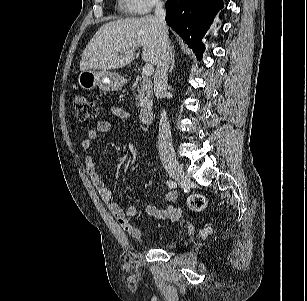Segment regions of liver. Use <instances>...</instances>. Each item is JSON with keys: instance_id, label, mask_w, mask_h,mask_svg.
I'll use <instances>...</instances> for the list:
<instances>
[{"instance_id": "obj_1", "label": "liver", "mask_w": 307, "mask_h": 301, "mask_svg": "<svg viewBox=\"0 0 307 301\" xmlns=\"http://www.w3.org/2000/svg\"><path fill=\"white\" fill-rule=\"evenodd\" d=\"M161 29L159 20L153 15L118 19L102 25L83 51L80 70L124 68L134 60L139 47H143L142 59L157 65ZM129 51L131 53L126 54Z\"/></svg>"}]
</instances>
